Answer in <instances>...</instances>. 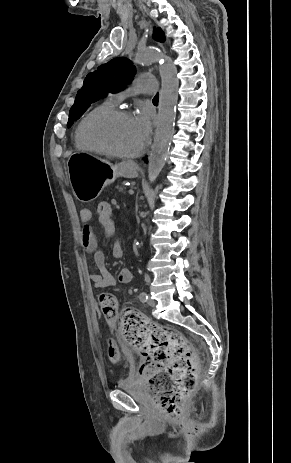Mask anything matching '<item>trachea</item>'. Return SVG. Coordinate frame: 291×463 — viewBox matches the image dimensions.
Masks as SVG:
<instances>
[{"label":"trachea","mask_w":291,"mask_h":463,"mask_svg":"<svg viewBox=\"0 0 291 463\" xmlns=\"http://www.w3.org/2000/svg\"><path fill=\"white\" fill-rule=\"evenodd\" d=\"M158 99H159V95L157 94V95L153 98V100H154V101H158Z\"/></svg>","instance_id":"3493384b"}]
</instances>
